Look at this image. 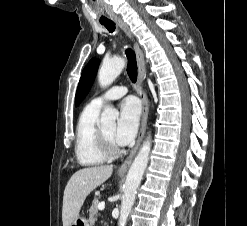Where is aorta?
Instances as JSON below:
<instances>
[{"label": "aorta", "mask_w": 247, "mask_h": 226, "mask_svg": "<svg viewBox=\"0 0 247 226\" xmlns=\"http://www.w3.org/2000/svg\"><path fill=\"white\" fill-rule=\"evenodd\" d=\"M125 62L122 58L105 60L98 73L100 86H109L122 72ZM118 116V111L113 107L106 106L101 114V126L113 125ZM151 151L150 136L144 141L137 156L128 171L124 185V193L121 201L119 226H125L128 215L135 201L136 191L140 185L142 176L147 167Z\"/></svg>", "instance_id": "obj_1"}]
</instances>
